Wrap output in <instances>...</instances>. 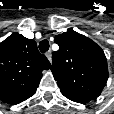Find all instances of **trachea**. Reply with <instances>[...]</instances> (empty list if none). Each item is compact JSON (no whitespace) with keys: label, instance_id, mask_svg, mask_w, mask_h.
I'll list each match as a JSON object with an SVG mask.
<instances>
[{"label":"trachea","instance_id":"obj_1","mask_svg":"<svg viewBox=\"0 0 114 114\" xmlns=\"http://www.w3.org/2000/svg\"><path fill=\"white\" fill-rule=\"evenodd\" d=\"M39 50L41 53H45L49 50V41L47 39H44L39 43Z\"/></svg>","mask_w":114,"mask_h":114}]
</instances>
